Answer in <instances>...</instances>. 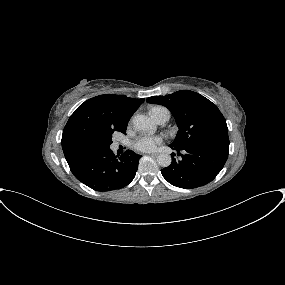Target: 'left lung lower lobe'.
Segmentation results:
<instances>
[{"instance_id": "0a47b994", "label": "left lung lower lobe", "mask_w": 285, "mask_h": 285, "mask_svg": "<svg viewBox=\"0 0 285 285\" xmlns=\"http://www.w3.org/2000/svg\"><path fill=\"white\" fill-rule=\"evenodd\" d=\"M182 156L161 170L172 185L185 189L197 188L211 182L221 171L228 158L229 148L214 144H200L184 149L171 147ZM180 151L185 152L184 155Z\"/></svg>"}]
</instances>
